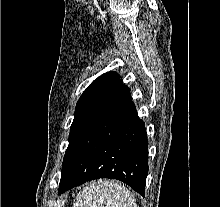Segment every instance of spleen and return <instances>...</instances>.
<instances>
[{
    "mask_svg": "<svg viewBox=\"0 0 220 207\" xmlns=\"http://www.w3.org/2000/svg\"><path fill=\"white\" fill-rule=\"evenodd\" d=\"M73 207H137L134 195L120 183L99 180L84 187Z\"/></svg>",
    "mask_w": 220,
    "mask_h": 207,
    "instance_id": "obj_1",
    "label": "spleen"
}]
</instances>
